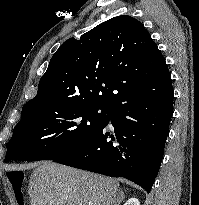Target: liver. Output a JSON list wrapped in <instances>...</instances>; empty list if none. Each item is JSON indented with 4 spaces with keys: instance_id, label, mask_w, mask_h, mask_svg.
I'll list each match as a JSON object with an SVG mask.
<instances>
[{
    "instance_id": "1",
    "label": "liver",
    "mask_w": 199,
    "mask_h": 205,
    "mask_svg": "<svg viewBox=\"0 0 199 205\" xmlns=\"http://www.w3.org/2000/svg\"><path fill=\"white\" fill-rule=\"evenodd\" d=\"M28 187L31 205H119L124 198L117 180L51 161L37 164Z\"/></svg>"
}]
</instances>
